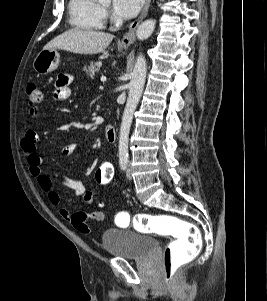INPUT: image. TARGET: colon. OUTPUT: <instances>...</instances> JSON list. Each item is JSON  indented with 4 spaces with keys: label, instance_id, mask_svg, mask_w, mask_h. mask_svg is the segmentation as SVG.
Wrapping results in <instances>:
<instances>
[{
    "label": "colon",
    "instance_id": "obj_1",
    "mask_svg": "<svg viewBox=\"0 0 267 301\" xmlns=\"http://www.w3.org/2000/svg\"><path fill=\"white\" fill-rule=\"evenodd\" d=\"M32 104L43 101L42 91L35 85L28 86ZM114 168L110 162H102L95 171V182L107 186L112 182ZM116 222L122 226L132 225L141 233H153L172 237L163 253L164 277L170 281L177 270L196 257L201 247V237L197 227L183 219L171 215L137 213L131 216L126 211L116 214Z\"/></svg>",
    "mask_w": 267,
    "mask_h": 301
}]
</instances>
